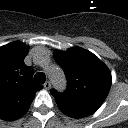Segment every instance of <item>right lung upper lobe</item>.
Here are the masks:
<instances>
[{
	"instance_id": "cb5924a9",
	"label": "right lung upper lobe",
	"mask_w": 128,
	"mask_h": 128,
	"mask_svg": "<svg viewBox=\"0 0 128 128\" xmlns=\"http://www.w3.org/2000/svg\"><path fill=\"white\" fill-rule=\"evenodd\" d=\"M28 52L22 42L0 47V119L12 121L23 116L36 91L43 88L33 81V68L24 63Z\"/></svg>"
}]
</instances>
